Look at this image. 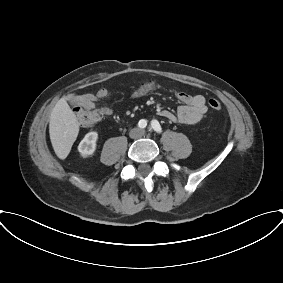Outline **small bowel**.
I'll return each instance as SVG.
<instances>
[{
    "label": "small bowel",
    "instance_id": "c3829d8e",
    "mask_svg": "<svg viewBox=\"0 0 283 283\" xmlns=\"http://www.w3.org/2000/svg\"><path fill=\"white\" fill-rule=\"evenodd\" d=\"M153 87L152 83H145L138 87L131 96L134 99L141 98L147 95ZM176 96L182 103V105L178 107L176 113L162 109L159 111V115L171 122H178L184 125H194L198 123L207 111L204 96L199 94L193 95L186 92H179ZM108 97V90L102 87L95 93L88 92L83 95L76 96L75 101L83 106L93 108L96 102L107 99ZM99 113L104 116H109L112 114V110L109 107H101Z\"/></svg>",
    "mask_w": 283,
    "mask_h": 283
}]
</instances>
